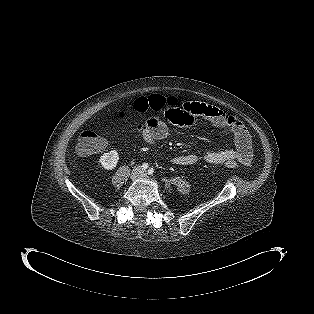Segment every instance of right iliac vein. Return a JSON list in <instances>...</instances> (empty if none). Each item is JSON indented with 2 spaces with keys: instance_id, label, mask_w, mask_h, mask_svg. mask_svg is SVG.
I'll use <instances>...</instances> for the list:
<instances>
[{
  "instance_id": "63e3f726",
  "label": "right iliac vein",
  "mask_w": 314,
  "mask_h": 314,
  "mask_svg": "<svg viewBox=\"0 0 314 314\" xmlns=\"http://www.w3.org/2000/svg\"><path fill=\"white\" fill-rule=\"evenodd\" d=\"M140 177V170L138 168L134 169L131 174V179L136 180Z\"/></svg>"
}]
</instances>
